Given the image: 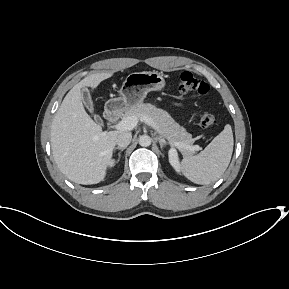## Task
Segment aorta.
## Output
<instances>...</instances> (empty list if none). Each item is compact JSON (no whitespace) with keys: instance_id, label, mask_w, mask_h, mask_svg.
<instances>
[{"instance_id":"obj_1","label":"aorta","mask_w":289,"mask_h":289,"mask_svg":"<svg viewBox=\"0 0 289 289\" xmlns=\"http://www.w3.org/2000/svg\"><path fill=\"white\" fill-rule=\"evenodd\" d=\"M139 144L142 147H148L151 145V138L148 135H142L139 138Z\"/></svg>"}]
</instances>
